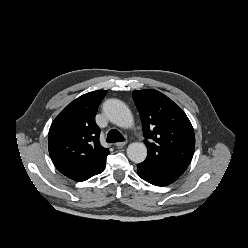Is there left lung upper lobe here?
<instances>
[{
    "mask_svg": "<svg viewBox=\"0 0 248 248\" xmlns=\"http://www.w3.org/2000/svg\"><path fill=\"white\" fill-rule=\"evenodd\" d=\"M142 120L147 159L186 170L193 157L195 135L182 109L156 90L134 91Z\"/></svg>",
    "mask_w": 248,
    "mask_h": 248,
    "instance_id": "1",
    "label": "left lung upper lobe"
}]
</instances>
